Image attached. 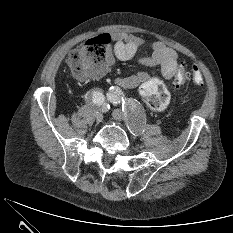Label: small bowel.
I'll list each match as a JSON object with an SVG mask.
<instances>
[{"label": "small bowel", "mask_w": 233, "mask_h": 233, "mask_svg": "<svg viewBox=\"0 0 233 233\" xmlns=\"http://www.w3.org/2000/svg\"><path fill=\"white\" fill-rule=\"evenodd\" d=\"M111 39L114 44L108 49L106 63L100 75L108 72L114 64L115 59L126 61L134 57L143 46L144 41L135 35L127 33H113ZM139 62L145 66H160L165 79H173L177 70L181 67L177 53L162 42H155L152 45V52L139 58ZM148 80L145 72H136L130 76L119 77L116 84L124 89L135 88Z\"/></svg>", "instance_id": "small-bowel-1"}]
</instances>
